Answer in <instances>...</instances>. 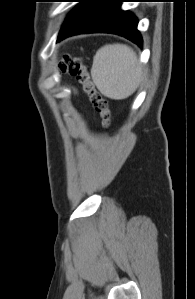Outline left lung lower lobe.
I'll list each match as a JSON object with an SVG mask.
<instances>
[{
    "mask_svg": "<svg viewBox=\"0 0 195 299\" xmlns=\"http://www.w3.org/2000/svg\"><path fill=\"white\" fill-rule=\"evenodd\" d=\"M126 0H88L78 16L61 29L58 41L81 33H113L142 47L137 18L120 5Z\"/></svg>",
    "mask_w": 195,
    "mask_h": 299,
    "instance_id": "left-lung-lower-lobe-1",
    "label": "left lung lower lobe"
}]
</instances>
